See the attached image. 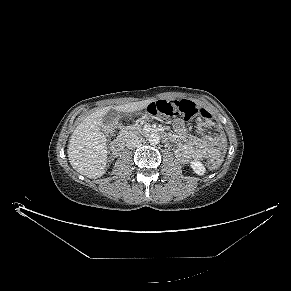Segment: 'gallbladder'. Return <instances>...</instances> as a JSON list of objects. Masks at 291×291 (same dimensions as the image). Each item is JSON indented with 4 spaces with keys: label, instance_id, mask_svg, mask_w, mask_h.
<instances>
[{
    "label": "gallbladder",
    "instance_id": "obj_1",
    "mask_svg": "<svg viewBox=\"0 0 291 291\" xmlns=\"http://www.w3.org/2000/svg\"><path fill=\"white\" fill-rule=\"evenodd\" d=\"M118 118L119 113L115 109H110L107 113L103 115V131L106 134H111L114 132Z\"/></svg>",
    "mask_w": 291,
    "mask_h": 291
}]
</instances>
